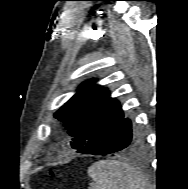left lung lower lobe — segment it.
<instances>
[{
    "mask_svg": "<svg viewBox=\"0 0 188 189\" xmlns=\"http://www.w3.org/2000/svg\"><path fill=\"white\" fill-rule=\"evenodd\" d=\"M140 138L133 135L130 119L123 118L121 122L87 154L107 155L135 147Z\"/></svg>",
    "mask_w": 188,
    "mask_h": 189,
    "instance_id": "left-lung-lower-lobe-1",
    "label": "left lung lower lobe"
}]
</instances>
